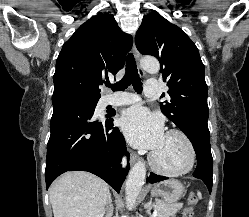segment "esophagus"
<instances>
[{
  "label": "esophagus",
  "instance_id": "1",
  "mask_svg": "<svg viewBox=\"0 0 249 217\" xmlns=\"http://www.w3.org/2000/svg\"><path fill=\"white\" fill-rule=\"evenodd\" d=\"M133 54L137 60V62L139 61V57H140V54L137 50V47H136V44H135V41H133ZM138 70H139V74L144 77L145 76V72L144 70L138 65ZM137 160V155L135 153H132L131 156H130V163L133 164L135 163Z\"/></svg>",
  "mask_w": 249,
  "mask_h": 217
}]
</instances>
